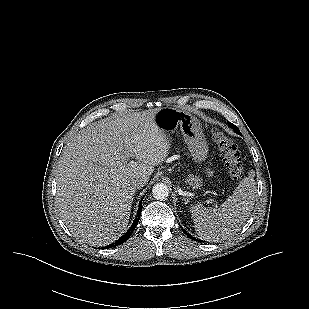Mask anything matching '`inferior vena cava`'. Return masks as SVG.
<instances>
[{"label":"inferior vena cava","mask_w":309,"mask_h":309,"mask_svg":"<svg viewBox=\"0 0 309 309\" xmlns=\"http://www.w3.org/2000/svg\"><path fill=\"white\" fill-rule=\"evenodd\" d=\"M147 178L146 177H136L131 180V186L134 187L135 189H140L147 183Z\"/></svg>","instance_id":"1"}]
</instances>
